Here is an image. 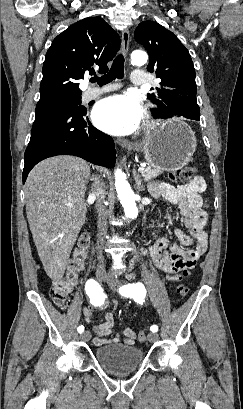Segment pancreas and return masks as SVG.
<instances>
[{
  "instance_id": "1",
  "label": "pancreas",
  "mask_w": 243,
  "mask_h": 409,
  "mask_svg": "<svg viewBox=\"0 0 243 409\" xmlns=\"http://www.w3.org/2000/svg\"><path fill=\"white\" fill-rule=\"evenodd\" d=\"M161 173V170L152 168V167H147L144 169V172L142 173V177L144 178L145 181H150L151 179L157 177Z\"/></svg>"
}]
</instances>
